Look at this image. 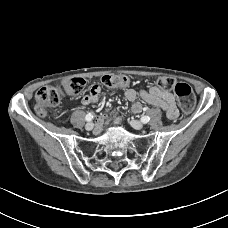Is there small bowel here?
<instances>
[{
  "label": "small bowel",
  "mask_w": 228,
  "mask_h": 228,
  "mask_svg": "<svg viewBox=\"0 0 228 228\" xmlns=\"http://www.w3.org/2000/svg\"><path fill=\"white\" fill-rule=\"evenodd\" d=\"M101 89L98 85H94L88 95H85L82 99L84 106H90L99 100ZM125 98L133 102L131 110L133 113H139L142 111V106L135 102L138 98H141L148 104L160 107L166 113V116L170 120H174L178 117L179 111L176 105L175 97L168 90L161 89L156 86H151L146 89L135 90L129 88L125 91ZM111 119V114H104L98 119L100 125L107 124ZM117 122L121 121V118L116 119Z\"/></svg>",
  "instance_id": "small-bowel-1"
}]
</instances>
